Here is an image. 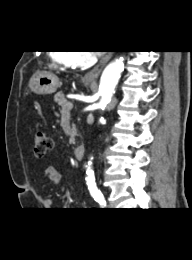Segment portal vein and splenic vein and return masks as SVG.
<instances>
[{
  "mask_svg": "<svg viewBox=\"0 0 192 260\" xmlns=\"http://www.w3.org/2000/svg\"><path fill=\"white\" fill-rule=\"evenodd\" d=\"M72 108H73V104L71 102H67L64 110H70Z\"/></svg>",
  "mask_w": 192,
  "mask_h": 260,
  "instance_id": "18ae733b",
  "label": "portal vein and splenic vein"
}]
</instances>
